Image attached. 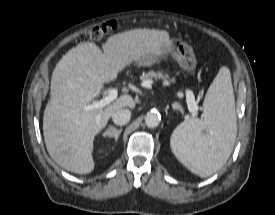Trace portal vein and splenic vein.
Here are the masks:
<instances>
[{
  "label": "portal vein and splenic vein",
  "instance_id": "portal-vein-and-splenic-vein-1",
  "mask_svg": "<svg viewBox=\"0 0 275 215\" xmlns=\"http://www.w3.org/2000/svg\"><path fill=\"white\" fill-rule=\"evenodd\" d=\"M144 86L149 88L151 86V82L147 81L146 83H144ZM117 96H118V90L115 88L110 89L106 97L102 98L99 101L93 102L92 104L86 105L84 107V110L85 111L94 110V109L102 110L105 106L109 105L112 101H114L117 98ZM186 102H187L188 110L190 112L195 113L198 111L199 107L197 105V102L195 101L194 94L189 90L186 92Z\"/></svg>",
  "mask_w": 275,
  "mask_h": 215
}]
</instances>
